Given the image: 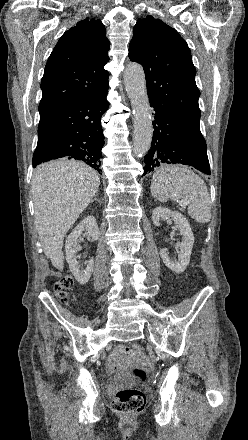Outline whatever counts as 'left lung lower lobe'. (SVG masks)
<instances>
[{
	"instance_id": "obj_1",
	"label": "left lung lower lobe",
	"mask_w": 248,
	"mask_h": 440,
	"mask_svg": "<svg viewBox=\"0 0 248 440\" xmlns=\"http://www.w3.org/2000/svg\"><path fill=\"white\" fill-rule=\"evenodd\" d=\"M154 108L153 141L144 158V173L164 164H185L210 175L206 142L200 128H196L150 101Z\"/></svg>"
}]
</instances>
